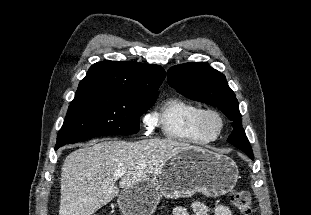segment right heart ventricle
Returning <instances> with one entry per match:
<instances>
[{
	"label": "right heart ventricle",
	"mask_w": 311,
	"mask_h": 215,
	"mask_svg": "<svg viewBox=\"0 0 311 215\" xmlns=\"http://www.w3.org/2000/svg\"><path fill=\"white\" fill-rule=\"evenodd\" d=\"M202 110L190 101L172 97L165 100L152 115L166 138L201 145L212 141L196 127L197 118Z\"/></svg>",
	"instance_id": "right-heart-ventricle-1"
}]
</instances>
